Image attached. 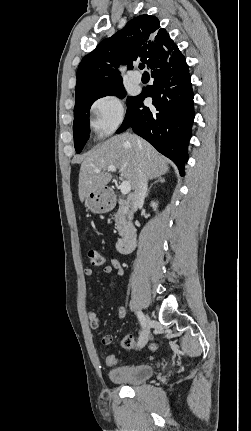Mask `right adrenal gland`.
I'll return each mask as SVG.
<instances>
[{"mask_svg":"<svg viewBox=\"0 0 251 431\" xmlns=\"http://www.w3.org/2000/svg\"><path fill=\"white\" fill-rule=\"evenodd\" d=\"M164 183L165 182V178L164 177H162V176H157L156 178H155V181L150 185V187L148 188V190H147V193H146V197H148V195H149V192H150V190H151V188H152V186L154 185V184H156V183Z\"/></svg>","mask_w":251,"mask_h":431,"instance_id":"obj_1","label":"right adrenal gland"}]
</instances>
